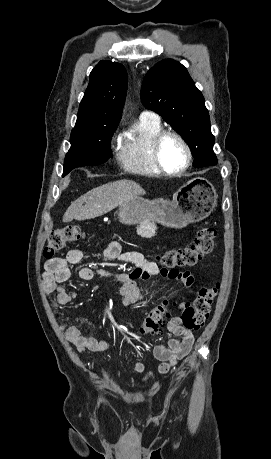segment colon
<instances>
[{
    "mask_svg": "<svg viewBox=\"0 0 271 459\" xmlns=\"http://www.w3.org/2000/svg\"><path fill=\"white\" fill-rule=\"evenodd\" d=\"M216 235L215 228L205 222L199 227L196 238L190 245L180 249L167 250L158 256V259L164 268L172 270H181L194 266L213 250ZM83 236L82 230L75 225H66L55 229L48 237L43 256L50 259L67 245L82 239ZM218 289V285L202 288L192 303L185 304L181 320L186 328L198 330L204 325ZM171 302V298L164 299L145 313L139 329L141 335L154 334L160 330L168 315V308Z\"/></svg>",
    "mask_w": 271,
    "mask_h": 459,
    "instance_id": "5ec220e1",
    "label": "colon"
}]
</instances>
